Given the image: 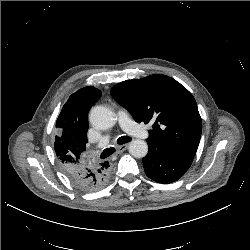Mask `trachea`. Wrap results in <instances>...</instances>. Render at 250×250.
Wrapping results in <instances>:
<instances>
[{
    "label": "trachea",
    "instance_id": "obj_1",
    "mask_svg": "<svg viewBox=\"0 0 250 250\" xmlns=\"http://www.w3.org/2000/svg\"><path fill=\"white\" fill-rule=\"evenodd\" d=\"M131 141V138L129 136H121L117 139V143L119 145L125 144L127 142ZM115 152V148L114 147H110V148H106L103 150V152L100 155L101 159H105L107 157H109L110 155H112Z\"/></svg>",
    "mask_w": 250,
    "mask_h": 250
}]
</instances>
